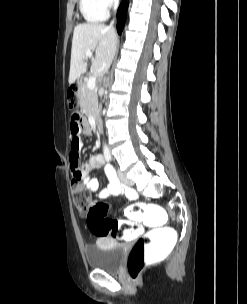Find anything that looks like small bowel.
<instances>
[{"label":"small bowel","instance_id":"1","mask_svg":"<svg viewBox=\"0 0 247 304\" xmlns=\"http://www.w3.org/2000/svg\"><path fill=\"white\" fill-rule=\"evenodd\" d=\"M82 112H71V119H81V120H70V167L73 174V178L77 181H81L84 188L89 192H97L99 189V181L93 176V171L101 168L104 163V157L102 155L91 156L88 161L83 163V151L81 149L82 143L81 138L83 134H90V127L88 123L82 120ZM105 173L109 180L108 185L98 192V197L100 199H106L110 196H117L124 194L129 199L136 198V193L130 189L123 187L115 174L112 166H105Z\"/></svg>","mask_w":247,"mask_h":304}]
</instances>
